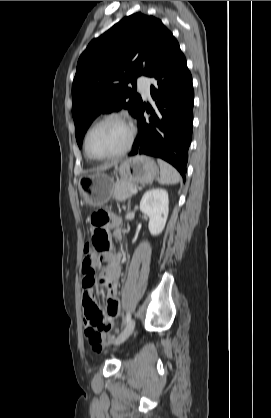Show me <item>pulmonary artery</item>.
Here are the masks:
<instances>
[{"label": "pulmonary artery", "instance_id": "1", "mask_svg": "<svg viewBox=\"0 0 271 418\" xmlns=\"http://www.w3.org/2000/svg\"><path fill=\"white\" fill-rule=\"evenodd\" d=\"M150 84L151 81L147 77H141L138 80V87L144 97L150 96Z\"/></svg>", "mask_w": 271, "mask_h": 418}]
</instances>
